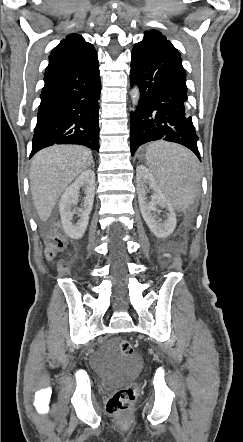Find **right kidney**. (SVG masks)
Wrapping results in <instances>:
<instances>
[{
    "label": "right kidney",
    "instance_id": "obj_1",
    "mask_svg": "<svg viewBox=\"0 0 243 442\" xmlns=\"http://www.w3.org/2000/svg\"><path fill=\"white\" fill-rule=\"evenodd\" d=\"M85 191V198L82 208L77 213L80 219L74 223L73 215L76 213L72 207L77 204L80 189ZM95 194V173L92 170H86L77 177L64 192L59 203L61 222L65 232L72 239H80L84 235L88 222L89 214L93 207Z\"/></svg>",
    "mask_w": 243,
    "mask_h": 442
}]
</instances>
